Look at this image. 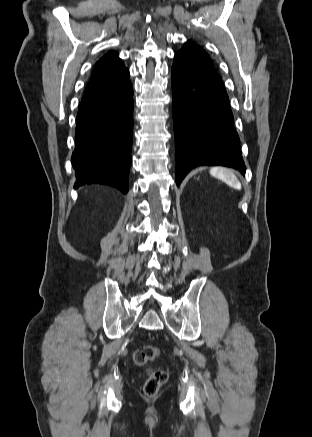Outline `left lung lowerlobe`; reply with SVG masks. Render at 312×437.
Segmentation results:
<instances>
[{
    "mask_svg": "<svg viewBox=\"0 0 312 437\" xmlns=\"http://www.w3.org/2000/svg\"><path fill=\"white\" fill-rule=\"evenodd\" d=\"M171 75L176 184L202 165L232 167L245 174L229 99L214 67L179 51Z\"/></svg>",
    "mask_w": 312,
    "mask_h": 437,
    "instance_id": "0a47b994",
    "label": "left lung lower lobe"
}]
</instances>
